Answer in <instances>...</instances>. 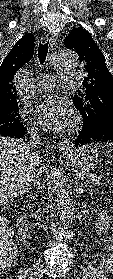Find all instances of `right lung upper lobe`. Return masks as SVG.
I'll return each instance as SVG.
<instances>
[{
    "mask_svg": "<svg viewBox=\"0 0 113 279\" xmlns=\"http://www.w3.org/2000/svg\"><path fill=\"white\" fill-rule=\"evenodd\" d=\"M35 37L25 34L7 54L0 67V108L17 102L12 80L17 70L30 61L34 53Z\"/></svg>",
    "mask_w": 113,
    "mask_h": 279,
    "instance_id": "right-lung-upper-lobe-1",
    "label": "right lung upper lobe"
}]
</instances>
